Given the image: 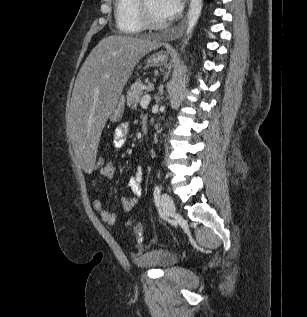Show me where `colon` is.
<instances>
[{"mask_svg":"<svg viewBox=\"0 0 307 317\" xmlns=\"http://www.w3.org/2000/svg\"><path fill=\"white\" fill-rule=\"evenodd\" d=\"M106 165L105 158L103 156H97L94 164L95 169L101 170ZM127 225H130L133 227L134 234L138 240H141L142 238V227L138 223H132L128 222Z\"/></svg>","mask_w":307,"mask_h":317,"instance_id":"colon-1","label":"colon"}]
</instances>
